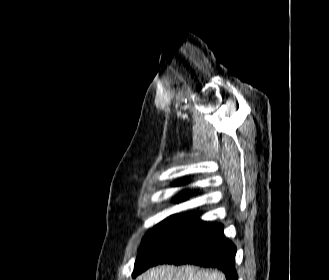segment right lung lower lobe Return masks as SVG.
I'll return each instance as SVG.
<instances>
[{
  "label": "right lung lower lobe",
  "instance_id": "1",
  "mask_svg": "<svg viewBox=\"0 0 329 280\" xmlns=\"http://www.w3.org/2000/svg\"><path fill=\"white\" fill-rule=\"evenodd\" d=\"M235 254L236 247L225 238L222 224H211L197 219L193 220L150 266L188 263L216 267L225 273L227 280H238L234 267Z\"/></svg>",
  "mask_w": 329,
  "mask_h": 280
}]
</instances>
